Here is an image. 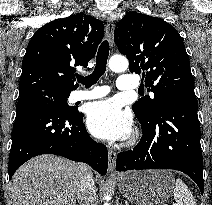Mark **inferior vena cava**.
Segmentation results:
<instances>
[{
    "mask_svg": "<svg viewBox=\"0 0 212 205\" xmlns=\"http://www.w3.org/2000/svg\"><path fill=\"white\" fill-rule=\"evenodd\" d=\"M76 176L78 204L98 205L95 183L90 168L86 164H78Z\"/></svg>",
    "mask_w": 212,
    "mask_h": 205,
    "instance_id": "obj_1",
    "label": "inferior vena cava"
}]
</instances>
